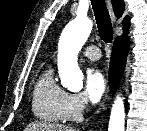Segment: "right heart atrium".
Segmentation results:
<instances>
[{
    "label": "right heart atrium",
    "instance_id": "d8ad5b80",
    "mask_svg": "<svg viewBox=\"0 0 147 131\" xmlns=\"http://www.w3.org/2000/svg\"><path fill=\"white\" fill-rule=\"evenodd\" d=\"M87 107V98L83 93L66 92L62 102V117L64 121L79 120Z\"/></svg>",
    "mask_w": 147,
    "mask_h": 131
}]
</instances>
